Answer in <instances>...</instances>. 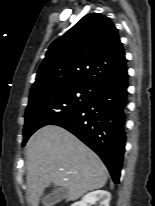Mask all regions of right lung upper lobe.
<instances>
[{"label":"right lung upper lobe","instance_id":"obj_1","mask_svg":"<svg viewBox=\"0 0 155 206\" xmlns=\"http://www.w3.org/2000/svg\"><path fill=\"white\" fill-rule=\"evenodd\" d=\"M126 71L125 52L114 23L91 13L50 45L30 95L72 85L98 90Z\"/></svg>","mask_w":155,"mask_h":206}]
</instances>
